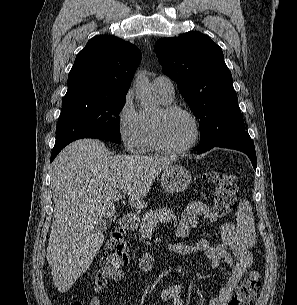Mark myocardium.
Instances as JSON below:
<instances>
[{
    "mask_svg": "<svg viewBox=\"0 0 297 305\" xmlns=\"http://www.w3.org/2000/svg\"><path fill=\"white\" fill-rule=\"evenodd\" d=\"M174 113H182L186 115L193 123L194 127V135L190 142H188L186 145L178 148H171L168 147L164 141L162 140L161 137V131H160V121L162 118L169 116ZM201 135V127H200V122L197 118V116L188 108H185L180 105H175V104H169L165 105L162 107L159 111L158 114L152 117L151 120V142L154 148L166 155H179L183 154L190 149H192L196 143L198 142L199 138Z\"/></svg>",
    "mask_w": 297,
    "mask_h": 305,
    "instance_id": "myocardium-1",
    "label": "myocardium"
}]
</instances>
